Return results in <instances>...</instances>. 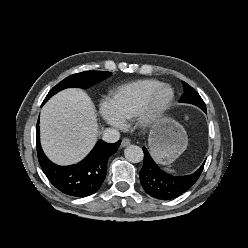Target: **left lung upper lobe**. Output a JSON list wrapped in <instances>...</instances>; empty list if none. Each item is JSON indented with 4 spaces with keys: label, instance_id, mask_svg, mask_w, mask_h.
Listing matches in <instances>:
<instances>
[{
    "label": "left lung upper lobe",
    "instance_id": "5c2ea615",
    "mask_svg": "<svg viewBox=\"0 0 248 248\" xmlns=\"http://www.w3.org/2000/svg\"><path fill=\"white\" fill-rule=\"evenodd\" d=\"M182 84H183L184 93L179 101L184 103H191L200 108H206V105L202 100V98L200 97V95L198 94V92L186 82L182 81Z\"/></svg>",
    "mask_w": 248,
    "mask_h": 248
}]
</instances>
